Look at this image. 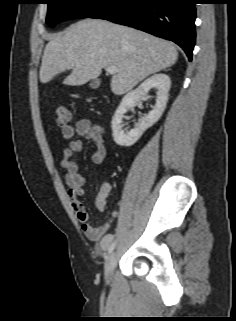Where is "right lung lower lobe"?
<instances>
[{"label":"right lung lower lobe","mask_w":236,"mask_h":321,"mask_svg":"<svg viewBox=\"0 0 236 321\" xmlns=\"http://www.w3.org/2000/svg\"><path fill=\"white\" fill-rule=\"evenodd\" d=\"M196 0H111L90 18L134 27L178 44L192 59Z\"/></svg>","instance_id":"obj_1"}]
</instances>
